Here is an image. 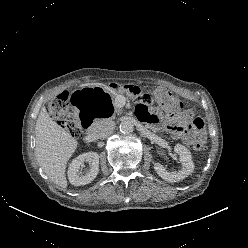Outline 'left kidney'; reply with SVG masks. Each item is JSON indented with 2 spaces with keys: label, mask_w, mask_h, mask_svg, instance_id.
Instances as JSON below:
<instances>
[{
  "label": "left kidney",
  "mask_w": 248,
  "mask_h": 248,
  "mask_svg": "<svg viewBox=\"0 0 248 248\" xmlns=\"http://www.w3.org/2000/svg\"><path fill=\"white\" fill-rule=\"evenodd\" d=\"M174 151L179 155L182 169L178 172H168L166 168L160 164L155 163L154 169L157 174L167 182H178L190 175L194 170V163L190 151L183 145L177 144L174 146Z\"/></svg>",
  "instance_id": "left-kidney-1"
}]
</instances>
